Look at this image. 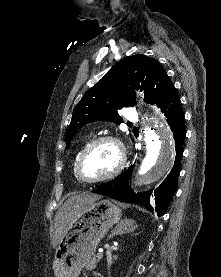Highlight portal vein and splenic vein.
Returning a JSON list of instances; mask_svg holds the SVG:
<instances>
[{"label": "portal vein and splenic vein", "instance_id": "obj_1", "mask_svg": "<svg viewBox=\"0 0 221 277\" xmlns=\"http://www.w3.org/2000/svg\"><path fill=\"white\" fill-rule=\"evenodd\" d=\"M97 256H98V257H102L103 255H102L101 252H98V253H97Z\"/></svg>", "mask_w": 221, "mask_h": 277}]
</instances>
